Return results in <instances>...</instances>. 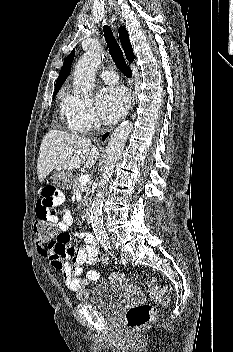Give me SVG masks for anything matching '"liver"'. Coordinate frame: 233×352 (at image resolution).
<instances>
[{
  "label": "liver",
  "mask_w": 233,
  "mask_h": 352,
  "mask_svg": "<svg viewBox=\"0 0 233 352\" xmlns=\"http://www.w3.org/2000/svg\"><path fill=\"white\" fill-rule=\"evenodd\" d=\"M99 158V150L85 137L58 130L49 131L43 138L38 163V179L42 183L53 170L91 168Z\"/></svg>",
  "instance_id": "obj_1"
}]
</instances>
